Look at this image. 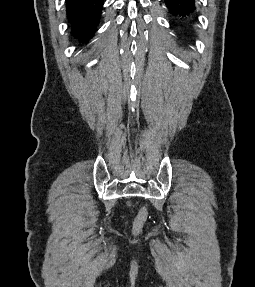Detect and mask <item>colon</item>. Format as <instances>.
Wrapping results in <instances>:
<instances>
[{"label": "colon", "instance_id": "5ec220e1", "mask_svg": "<svg viewBox=\"0 0 255 287\" xmlns=\"http://www.w3.org/2000/svg\"><path fill=\"white\" fill-rule=\"evenodd\" d=\"M148 219V211L146 208L142 207L138 211L136 217L134 218L133 225H132V233L133 235H139Z\"/></svg>", "mask_w": 255, "mask_h": 287}]
</instances>
